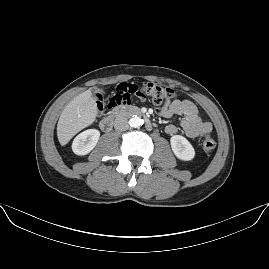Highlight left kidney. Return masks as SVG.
Segmentation results:
<instances>
[{"mask_svg":"<svg viewBox=\"0 0 269 269\" xmlns=\"http://www.w3.org/2000/svg\"><path fill=\"white\" fill-rule=\"evenodd\" d=\"M171 145L177 157L190 160L194 156V149L191 144L182 136L174 135L171 138Z\"/></svg>","mask_w":269,"mask_h":269,"instance_id":"1","label":"left kidney"}]
</instances>
